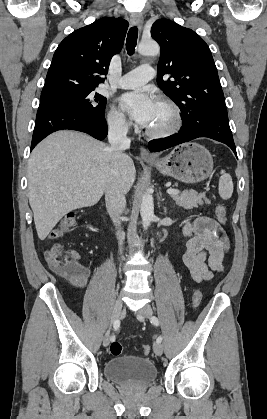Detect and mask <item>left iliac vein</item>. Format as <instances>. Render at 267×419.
I'll use <instances>...</instances> for the list:
<instances>
[{
  "label": "left iliac vein",
  "instance_id": "1",
  "mask_svg": "<svg viewBox=\"0 0 267 419\" xmlns=\"http://www.w3.org/2000/svg\"><path fill=\"white\" fill-rule=\"evenodd\" d=\"M152 309L149 305L144 306L141 310L136 312V316L138 320L144 321L146 317H150L152 315ZM153 351L156 355L161 356L163 353V347L161 343L155 342L153 344Z\"/></svg>",
  "mask_w": 267,
  "mask_h": 419
}]
</instances>
